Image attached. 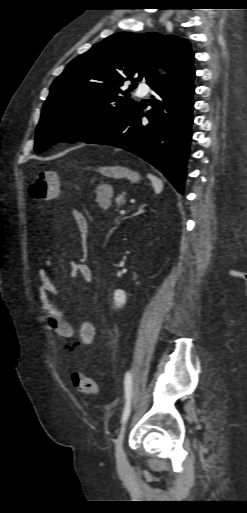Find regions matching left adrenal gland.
<instances>
[{
    "instance_id": "obj_1",
    "label": "left adrenal gland",
    "mask_w": 247,
    "mask_h": 513,
    "mask_svg": "<svg viewBox=\"0 0 247 513\" xmlns=\"http://www.w3.org/2000/svg\"><path fill=\"white\" fill-rule=\"evenodd\" d=\"M145 206H146V204H142V205H140V206L138 207V211H137L133 216H136V215H138V214H142V213H144V212H145V211H144ZM126 218H127V217H123V218H121V219H120V221H118V222H117V225H119V224H120V222H121L122 220H125Z\"/></svg>"
}]
</instances>
